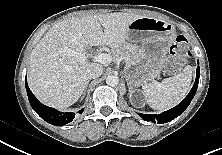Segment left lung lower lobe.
Instances as JSON below:
<instances>
[{
	"label": "left lung lower lobe",
	"instance_id": "1",
	"mask_svg": "<svg viewBox=\"0 0 222 155\" xmlns=\"http://www.w3.org/2000/svg\"><path fill=\"white\" fill-rule=\"evenodd\" d=\"M199 76H200V69L199 66L197 67V75H196V80L194 83V86L192 87L191 91L189 92V94L185 97V99L178 104L176 107L165 111L161 114L155 115V114H139L140 117H142L143 120L146 121H153L154 123L158 124H163V123H167L169 121H172L173 119H175L176 117H178L179 115H181L186 108L189 106L191 100L193 99L197 88H198V82H199Z\"/></svg>",
	"mask_w": 222,
	"mask_h": 155
}]
</instances>
